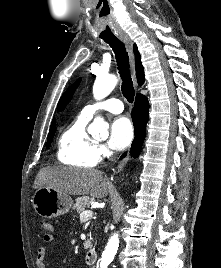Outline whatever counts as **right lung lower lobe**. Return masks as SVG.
Segmentation results:
<instances>
[{
    "label": "right lung lower lobe",
    "mask_w": 221,
    "mask_h": 268,
    "mask_svg": "<svg viewBox=\"0 0 221 268\" xmlns=\"http://www.w3.org/2000/svg\"><path fill=\"white\" fill-rule=\"evenodd\" d=\"M132 121L134 124L135 138L132 143L131 153L136 158L141 150L142 144L146 136V124L149 119V103L144 95L138 94L132 109ZM126 156L124 153L120 159Z\"/></svg>",
    "instance_id": "right-lung-lower-lobe-1"
}]
</instances>
